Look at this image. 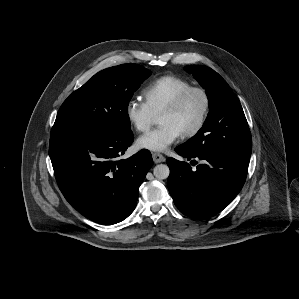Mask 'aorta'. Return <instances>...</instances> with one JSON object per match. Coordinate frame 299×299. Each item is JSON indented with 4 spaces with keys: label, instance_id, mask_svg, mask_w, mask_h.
<instances>
[{
    "label": "aorta",
    "instance_id": "1",
    "mask_svg": "<svg viewBox=\"0 0 299 299\" xmlns=\"http://www.w3.org/2000/svg\"><path fill=\"white\" fill-rule=\"evenodd\" d=\"M153 174L157 179L163 180L168 178L170 170L166 164H159L154 167Z\"/></svg>",
    "mask_w": 299,
    "mask_h": 299
}]
</instances>
